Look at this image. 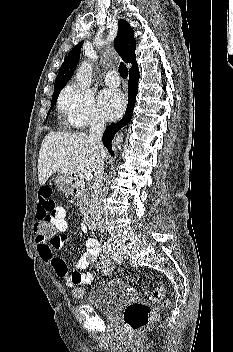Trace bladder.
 <instances>
[{"label": "bladder", "instance_id": "obj_1", "mask_svg": "<svg viewBox=\"0 0 233 352\" xmlns=\"http://www.w3.org/2000/svg\"><path fill=\"white\" fill-rule=\"evenodd\" d=\"M126 299L123 287L115 281L95 284L87 297V303L106 315H113Z\"/></svg>", "mask_w": 233, "mask_h": 352}]
</instances>
